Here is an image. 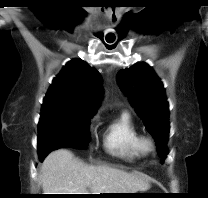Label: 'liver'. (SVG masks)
Here are the masks:
<instances>
[{
  "label": "liver",
  "mask_w": 208,
  "mask_h": 198,
  "mask_svg": "<svg viewBox=\"0 0 208 198\" xmlns=\"http://www.w3.org/2000/svg\"><path fill=\"white\" fill-rule=\"evenodd\" d=\"M39 180L44 194L136 193L150 188L140 177L105 165L84 164L65 149L46 157Z\"/></svg>",
  "instance_id": "6515ba94"
}]
</instances>
